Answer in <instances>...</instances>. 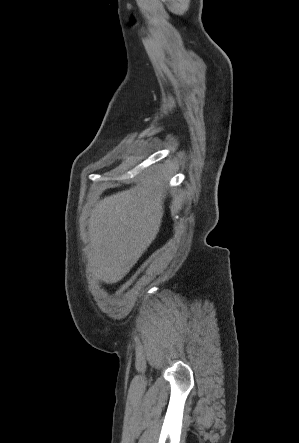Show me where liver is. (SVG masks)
Masks as SVG:
<instances>
[{"label":"liver","instance_id":"liver-1","mask_svg":"<svg viewBox=\"0 0 299 443\" xmlns=\"http://www.w3.org/2000/svg\"><path fill=\"white\" fill-rule=\"evenodd\" d=\"M167 171L144 172L139 183L100 200L88 221L87 272L120 281L155 240L164 214Z\"/></svg>","mask_w":299,"mask_h":443}]
</instances>
